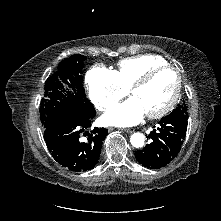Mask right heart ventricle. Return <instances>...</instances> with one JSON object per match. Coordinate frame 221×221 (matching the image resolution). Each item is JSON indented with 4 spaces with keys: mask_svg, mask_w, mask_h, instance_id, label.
<instances>
[{
    "mask_svg": "<svg viewBox=\"0 0 221 221\" xmlns=\"http://www.w3.org/2000/svg\"><path fill=\"white\" fill-rule=\"evenodd\" d=\"M164 64H167V61L161 56L143 54L120 60L114 73L121 85L129 89L148 69Z\"/></svg>",
    "mask_w": 221,
    "mask_h": 221,
    "instance_id": "obj_1",
    "label": "right heart ventricle"
}]
</instances>
